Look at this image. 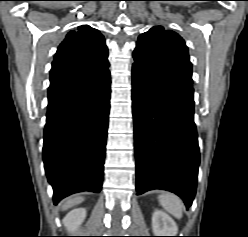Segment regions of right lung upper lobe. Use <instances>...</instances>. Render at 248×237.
I'll use <instances>...</instances> for the list:
<instances>
[{"mask_svg":"<svg viewBox=\"0 0 248 237\" xmlns=\"http://www.w3.org/2000/svg\"><path fill=\"white\" fill-rule=\"evenodd\" d=\"M108 66V49L103 35L88 25H82L77 31H70L58 47L50 84L89 76Z\"/></svg>","mask_w":248,"mask_h":237,"instance_id":"obj_1","label":"right lung upper lobe"}]
</instances>
